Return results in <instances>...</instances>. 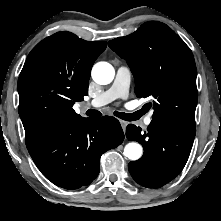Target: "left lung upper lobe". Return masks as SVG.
I'll return each instance as SVG.
<instances>
[{
    "instance_id": "5c2ea615",
    "label": "left lung upper lobe",
    "mask_w": 221,
    "mask_h": 221,
    "mask_svg": "<svg viewBox=\"0 0 221 221\" xmlns=\"http://www.w3.org/2000/svg\"><path fill=\"white\" fill-rule=\"evenodd\" d=\"M135 78L137 97H152L153 120L195 131L196 65L185 42L167 25L150 21L109 41Z\"/></svg>"
}]
</instances>
